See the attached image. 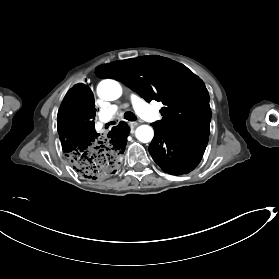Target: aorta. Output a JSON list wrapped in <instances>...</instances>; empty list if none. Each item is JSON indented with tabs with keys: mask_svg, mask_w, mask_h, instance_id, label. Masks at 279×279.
<instances>
[{
	"mask_svg": "<svg viewBox=\"0 0 279 279\" xmlns=\"http://www.w3.org/2000/svg\"><path fill=\"white\" fill-rule=\"evenodd\" d=\"M97 94L103 100L113 101L122 95V87L113 79H105L97 86ZM153 136L154 130L148 125H141L136 129V138L143 143L150 142Z\"/></svg>",
	"mask_w": 279,
	"mask_h": 279,
	"instance_id": "1",
	"label": "aorta"
}]
</instances>
